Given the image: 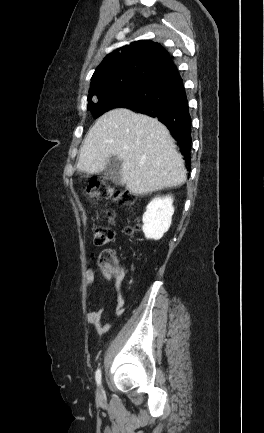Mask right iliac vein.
Returning a JSON list of instances; mask_svg holds the SVG:
<instances>
[{"label":"right iliac vein","instance_id":"obj_1","mask_svg":"<svg viewBox=\"0 0 264 433\" xmlns=\"http://www.w3.org/2000/svg\"><path fill=\"white\" fill-rule=\"evenodd\" d=\"M97 396H98L99 398L103 397V391H102L101 388H99V389L97 390Z\"/></svg>","mask_w":264,"mask_h":433}]
</instances>
